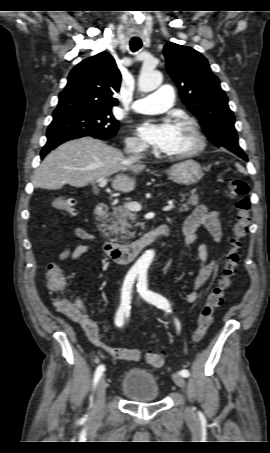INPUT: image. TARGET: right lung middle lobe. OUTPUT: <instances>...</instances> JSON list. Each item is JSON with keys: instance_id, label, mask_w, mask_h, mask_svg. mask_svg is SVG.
Returning a JSON list of instances; mask_svg holds the SVG:
<instances>
[{"instance_id": "right-lung-middle-lobe-1", "label": "right lung middle lobe", "mask_w": 270, "mask_h": 453, "mask_svg": "<svg viewBox=\"0 0 270 453\" xmlns=\"http://www.w3.org/2000/svg\"><path fill=\"white\" fill-rule=\"evenodd\" d=\"M118 121L111 110L86 111L54 117L47 130L48 134H91L109 139L118 131Z\"/></svg>"}]
</instances>
